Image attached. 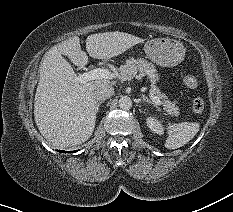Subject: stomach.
<instances>
[{"label": "stomach", "instance_id": "obj_1", "mask_svg": "<svg viewBox=\"0 0 233 212\" xmlns=\"http://www.w3.org/2000/svg\"><path fill=\"white\" fill-rule=\"evenodd\" d=\"M147 57L157 65L163 67H173L181 63L185 56L183 45L170 38H154L148 40L144 45ZM152 83H156L158 75L151 78Z\"/></svg>", "mask_w": 233, "mask_h": 212}]
</instances>
